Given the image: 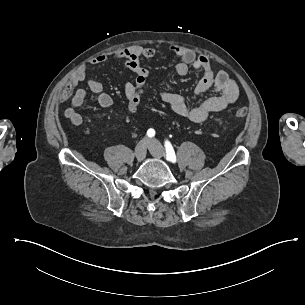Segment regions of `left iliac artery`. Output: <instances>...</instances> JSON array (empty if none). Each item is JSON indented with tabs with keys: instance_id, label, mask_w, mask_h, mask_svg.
<instances>
[{
	"instance_id": "left-iliac-artery-1",
	"label": "left iliac artery",
	"mask_w": 305,
	"mask_h": 305,
	"mask_svg": "<svg viewBox=\"0 0 305 305\" xmlns=\"http://www.w3.org/2000/svg\"><path fill=\"white\" fill-rule=\"evenodd\" d=\"M165 149H166V160L175 163L176 162L175 152L169 141L165 142Z\"/></svg>"
}]
</instances>
